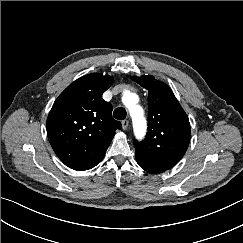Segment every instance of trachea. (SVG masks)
<instances>
[{
  "mask_svg": "<svg viewBox=\"0 0 243 243\" xmlns=\"http://www.w3.org/2000/svg\"><path fill=\"white\" fill-rule=\"evenodd\" d=\"M126 110L124 108H116L113 112V117L117 120H124L126 118Z\"/></svg>",
  "mask_w": 243,
  "mask_h": 243,
  "instance_id": "obj_1",
  "label": "trachea"
}]
</instances>
